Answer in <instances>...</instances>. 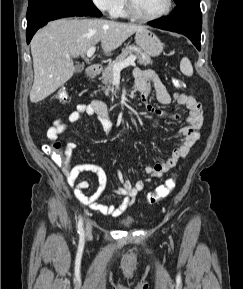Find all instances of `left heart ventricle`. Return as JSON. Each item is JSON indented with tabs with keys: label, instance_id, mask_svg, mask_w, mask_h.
<instances>
[{
	"label": "left heart ventricle",
	"instance_id": "1",
	"mask_svg": "<svg viewBox=\"0 0 243 289\" xmlns=\"http://www.w3.org/2000/svg\"><path fill=\"white\" fill-rule=\"evenodd\" d=\"M136 9L143 15L153 16L163 12L167 0H133Z\"/></svg>",
	"mask_w": 243,
	"mask_h": 289
}]
</instances>
